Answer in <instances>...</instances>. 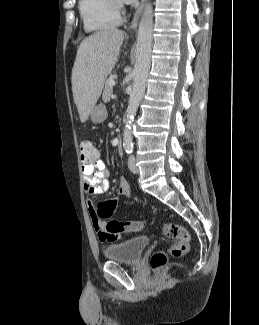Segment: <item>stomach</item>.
<instances>
[{
    "label": "stomach",
    "instance_id": "obj_1",
    "mask_svg": "<svg viewBox=\"0 0 259 325\" xmlns=\"http://www.w3.org/2000/svg\"><path fill=\"white\" fill-rule=\"evenodd\" d=\"M91 120L93 123H101L107 117V110L103 104H98L94 106L93 110L91 111Z\"/></svg>",
    "mask_w": 259,
    "mask_h": 325
}]
</instances>
